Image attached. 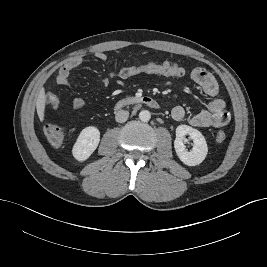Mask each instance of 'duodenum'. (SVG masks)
Instances as JSON below:
<instances>
[{
  "mask_svg": "<svg viewBox=\"0 0 267 267\" xmlns=\"http://www.w3.org/2000/svg\"><path fill=\"white\" fill-rule=\"evenodd\" d=\"M137 105H145L155 109L160 107L158 101L151 96H135L119 100L116 103L115 108L119 110L127 106Z\"/></svg>",
  "mask_w": 267,
  "mask_h": 267,
  "instance_id": "1",
  "label": "duodenum"
}]
</instances>
